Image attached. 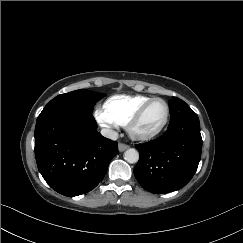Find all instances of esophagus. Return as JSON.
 <instances>
[{
    "label": "esophagus",
    "instance_id": "1",
    "mask_svg": "<svg viewBox=\"0 0 243 243\" xmlns=\"http://www.w3.org/2000/svg\"><path fill=\"white\" fill-rule=\"evenodd\" d=\"M128 148H129V146L127 144H124V143H119L118 144V149H119L120 152H123V151H125Z\"/></svg>",
    "mask_w": 243,
    "mask_h": 243
}]
</instances>
